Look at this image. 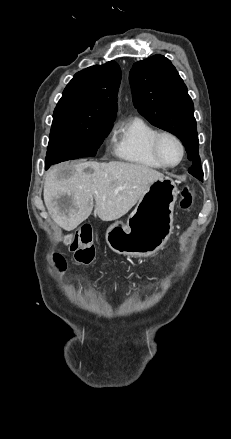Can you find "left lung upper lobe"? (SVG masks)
Returning <instances> with one entry per match:
<instances>
[{"mask_svg": "<svg viewBox=\"0 0 231 439\" xmlns=\"http://www.w3.org/2000/svg\"><path fill=\"white\" fill-rule=\"evenodd\" d=\"M133 103L152 125L175 134L192 166L188 172L203 180L194 105L187 87L169 59L154 55L134 63L129 76Z\"/></svg>", "mask_w": 231, "mask_h": 439, "instance_id": "1", "label": "left lung upper lobe"}]
</instances>
